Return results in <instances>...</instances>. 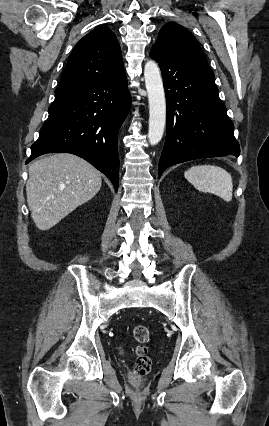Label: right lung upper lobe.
Wrapping results in <instances>:
<instances>
[{
    "mask_svg": "<svg viewBox=\"0 0 269 426\" xmlns=\"http://www.w3.org/2000/svg\"><path fill=\"white\" fill-rule=\"evenodd\" d=\"M123 72L122 54L116 35L107 26L100 25L76 44L56 91L104 81Z\"/></svg>",
    "mask_w": 269,
    "mask_h": 426,
    "instance_id": "1",
    "label": "right lung upper lobe"
}]
</instances>
